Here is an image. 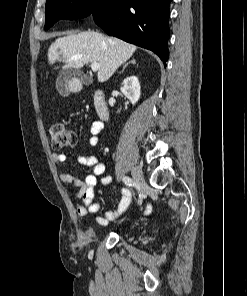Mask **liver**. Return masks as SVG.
Returning <instances> with one entry per match:
<instances>
[{"label":"liver","mask_w":247,"mask_h":296,"mask_svg":"<svg viewBox=\"0 0 247 296\" xmlns=\"http://www.w3.org/2000/svg\"><path fill=\"white\" fill-rule=\"evenodd\" d=\"M137 47L99 32L85 31L68 34L53 42L48 49V62L63 59L67 68H82L87 63L100 64L99 82L107 81L136 51Z\"/></svg>","instance_id":"6515ba94"}]
</instances>
